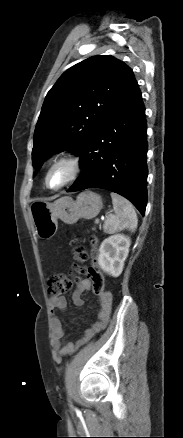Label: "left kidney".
<instances>
[{
	"mask_svg": "<svg viewBox=\"0 0 183 438\" xmlns=\"http://www.w3.org/2000/svg\"><path fill=\"white\" fill-rule=\"evenodd\" d=\"M130 244V238L124 234H115L103 240L98 257L101 269L113 277H118L123 271Z\"/></svg>",
	"mask_w": 183,
	"mask_h": 438,
	"instance_id": "1",
	"label": "left kidney"
}]
</instances>
